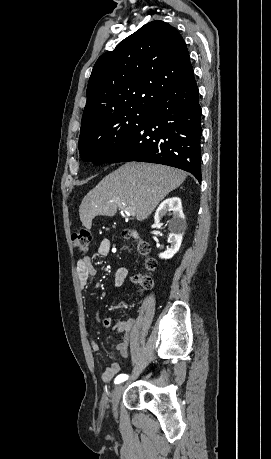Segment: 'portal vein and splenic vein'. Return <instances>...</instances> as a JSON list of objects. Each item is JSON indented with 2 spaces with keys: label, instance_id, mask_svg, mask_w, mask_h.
<instances>
[{
  "label": "portal vein and splenic vein",
  "instance_id": "obj_1",
  "mask_svg": "<svg viewBox=\"0 0 271 459\" xmlns=\"http://www.w3.org/2000/svg\"><path fill=\"white\" fill-rule=\"evenodd\" d=\"M124 212L129 214V216H135V208H125Z\"/></svg>",
  "mask_w": 271,
  "mask_h": 459
}]
</instances>
